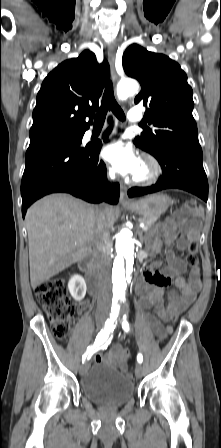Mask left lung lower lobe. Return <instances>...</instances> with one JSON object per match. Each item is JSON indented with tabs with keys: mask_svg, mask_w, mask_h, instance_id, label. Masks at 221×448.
Returning <instances> with one entry per match:
<instances>
[{
	"mask_svg": "<svg viewBox=\"0 0 221 448\" xmlns=\"http://www.w3.org/2000/svg\"><path fill=\"white\" fill-rule=\"evenodd\" d=\"M163 173L155 185L134 187L129 197L154 193L168 188H179L191 192L201 199H208V181L202 165V150L198 146H172L154 156Z\"/></svg>",
	"mask_w": 221,
	"mask_h": 448,
	"instance_id": "obj_1",
	"label": "left lung lower lobe"
}]
</instances>
